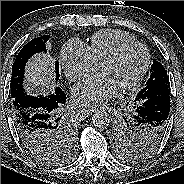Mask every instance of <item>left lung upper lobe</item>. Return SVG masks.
Instances as JSON below:
<instances>
[{
  "instance_id": "5c2ea615",
  "label": "left lung upper lobe",
  "mask_w": 184,
  "mask_h": 184,
  "mask_svg": "<svg viewBox=\"0 0 184 184\" xmlns=\"http://www.w3.org/2000/svg\"><path fill=\"white\" fill-rule=\"evenodd\" d=\"M169 83L167 71L160 62L154 59L150 77L140 92L143 93L152 87ZM158 87L154 88L156 89L155 94L161 95L162 90ZM130 111V115L127 114L117 119L111 134L116 143L117 154L125 161H136L153 153L163 137L158 138L151 128L143 127L134 120L132 104Z\"/></svg>"
}]
</instances>
